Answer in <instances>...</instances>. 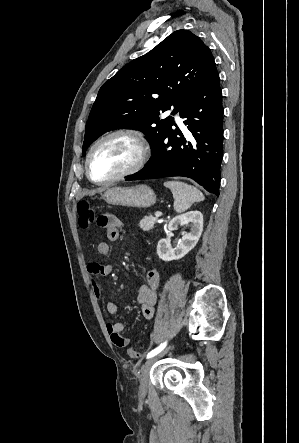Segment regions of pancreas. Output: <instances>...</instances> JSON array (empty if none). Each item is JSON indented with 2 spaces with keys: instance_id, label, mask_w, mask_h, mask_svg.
Segmentation results:
<instances>
[{
  "instance_id": "cf45deb5",
  "label": "pancreas",
  "mask_w": 299,
  "mask_h": 443,
  "mask_svg": "<svg viewBox=\"0 0 299 443\" xmlns=\"http://www.w3.org/2000/svg\"><path fill=\"white\" fill-rule=\"evenodd\" d=\"M157 222V218L149 215V216H145L144 218L141 219L140 223H139V227L142 228L145 231H149L151 229L154 228V225Z\"/></svg>"
}]
</instances>
